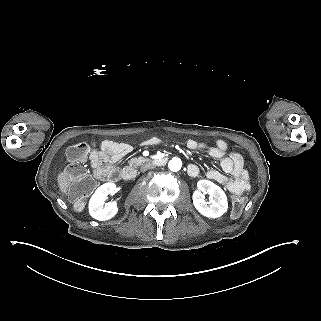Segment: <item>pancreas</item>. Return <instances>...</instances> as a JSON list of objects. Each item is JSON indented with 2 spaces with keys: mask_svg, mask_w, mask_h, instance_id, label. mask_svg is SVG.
<instances>
[{
  "mask_svg": "<svg viewBox=\"0 0 321 321\" xmlns=\"http://www.w3.org/2000/svg\"><path fill=\"white\" fill-rule=\"evenodd\" d=\"M149 162L148 158L145 157H133L128 161V164L130 165H135V166H139L143 163Z\"/></svg>",
  "mask_w": 321,
  "mask_h": 321,
  "instance_id": "obj_1",
  "label": "pancreas"
}]
</instances>
